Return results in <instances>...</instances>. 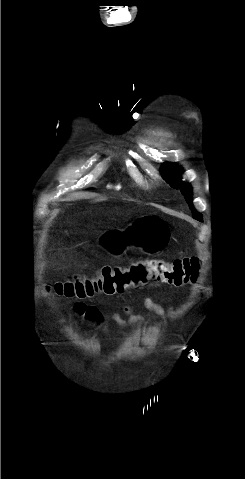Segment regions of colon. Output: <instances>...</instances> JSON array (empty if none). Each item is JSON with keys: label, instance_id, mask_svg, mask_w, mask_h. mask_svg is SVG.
Masks as SVG:
<instances>
[{"label": "colon", "instance_id": "obj_1", "mask_svg": "<svg viewBox=\"0 0 245 479\" xmlns=\"http://www.w3.org/2000/svg\"><path fill=\"white\" fill-rule=\"evenodd\" d=\"M201 262L197 257L165 260L161 258L141 259L127 266H104L90 276L76 275L56 282L51 290L59 296L87 298L96 294H116L131 288L144 286L151 281L175 286L194 282ZM85 306L75 309L86 313Z\"/></svg>", "mask_w": 245, "mask_h": 479}]
</instances>
